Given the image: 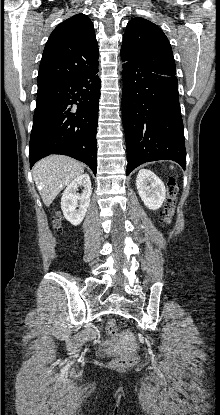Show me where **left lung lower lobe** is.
<instances>
[{
  "label": "left lung lower lobe",
  "instance_id": "left-lung-lower-lobe-1",
  "mask_svg": "<svg viewBox=\"0 0 220 415\" xmlns=\"http://www.w3.org/2000/svg\"><path fill=\"white\" fill-rule=\"evenodd\" d=\"M122 115L127 175L140 164L165 159L185 169L183 121L175 74L125 62Z\"/></svg>",
  "mask_w": 220,
  "mask_h": 415
}]
</instances>
